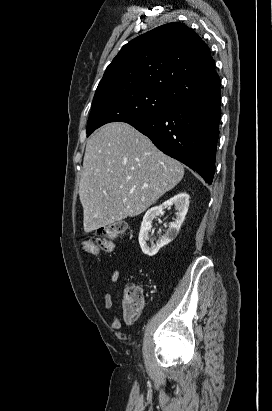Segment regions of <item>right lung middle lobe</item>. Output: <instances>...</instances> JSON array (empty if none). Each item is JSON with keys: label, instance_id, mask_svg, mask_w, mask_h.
Instances as JSON below:
<instances>
[{"label": "right lung middle lobe", "instance_id": "dd1d6c3e", "mask_svg": "<svg viewBox=\"0 0 272 411\" xmlns=\"http://www.w3.org/2000/svg\"><path fill=\"white\" fill-rule=\"evenodd\" d=\"M176 102L172 93L151 88L97 93L87 123V136L106 123L139 121L163 112Z\"/></svg>", "mask_w": 272, "mask_h": 411}]
</instances>
